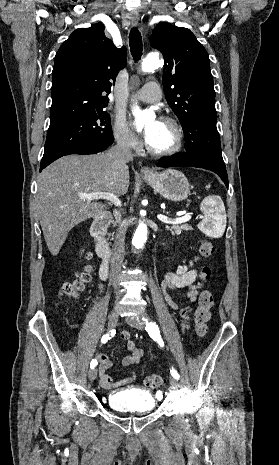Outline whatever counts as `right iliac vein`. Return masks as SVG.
<instances>
[{"mask_svg":"<svg viewBox=\"0 0 279 465\" xmlns=\"http://www.w3.org/2000/svg\"><path fill=\"white\" fill-rule=\"evenodd\" d=\"M119 320V314L117 311H113L108 318V329L111 330L116 327ZM90 381H94L97 377V368H91L88 372Z\"/></svg>","mask_w":279,"mask_h":465,"instance_id":"obj_1","label":"right iliac vein"}]
</instances>
